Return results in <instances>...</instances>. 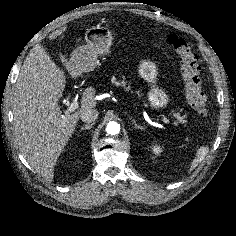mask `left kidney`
I'll list each match as a JSON object with an SVG mask.
<instances>
[{"mask_svg":"<svg viewBox=\"0 0 236 236\" xmlns=\"http://www.w3.org/2000/svg\"><path fill=\"white\" fill-rule=\"evenodd\" d=\"M152 150L155 154L159 155L162 152V147H160L159 145H153Z\"/></svg>","mask_w":236,"mask_h":236,"instance_id":"obj_1","label":"left kidney"}]
</instances>
